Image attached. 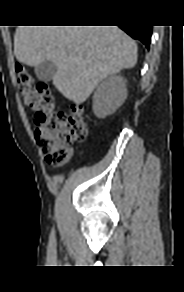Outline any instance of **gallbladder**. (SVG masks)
<instances>
[{"label": "gallbladder", "instance_id": "1", "mask_svg": "<svg viewBox=\"0 0 184 292\" xmlns=\"http://www.w3.org/2000/svg\"><path fill=\"white\" fill-rule=\"evenodd\" d=\"M36 77L44 82H48L53 79L57 72L56 65L51 61H45L40 65L36 66L35 69Z\"/></svg>", "mask_w": 184, "mask_h": 292}]
</instances>
